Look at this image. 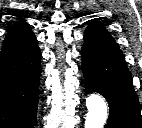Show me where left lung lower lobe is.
Segmentation results:
<instances>
[{"label":"left lung lower lobe","instance_id":"obj_1","mask_svg":"<svg viewBox=\"0 0 142 128\" xmlns=\"http://www.w3.org/2000/svg\"><path fill=\"white\" fill-rule=\"evenodd\" d=\"M81 55L86 93H100L110 107L105 128H142L132 76L112 36L90 22Z\"/></svg>","mask_w":142,"mask_h":128}]
</instances>
